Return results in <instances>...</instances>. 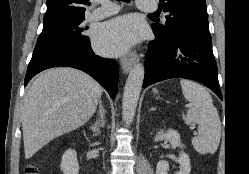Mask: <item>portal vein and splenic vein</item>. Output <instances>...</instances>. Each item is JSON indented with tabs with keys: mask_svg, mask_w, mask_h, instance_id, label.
<instances>
[{
	"mask_svg": "<svg viewBox=\"0 0 249 174\" xmlns=\"http://www.w3.org/2000/svg\"><path fill=\"white\" fill-rule=\"evenodd\" d=\"M193 128H194V125L191 126V129H193Z\"/></svg>",
	"mask_w": 249,
	"mask_h": 174,
	"instance_id": "portal-vein-and-splenic-vein-1",
	"label": "portal vein and splenic vein"
}]
</instances>
